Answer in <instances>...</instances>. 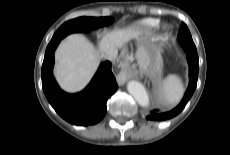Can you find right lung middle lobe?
<instances>
[{"label": "right lung middle lobe", "mask_w": 230, "mask_h": 155, "mask_svg": "<svg viewBox=\"0 0 230 155\" xmlns=\"http://www.w3.org/2000/svg\"><path fill=\"white\" fill-rule=\"evenodd\" d=\"M111 17H79L65 22L53 35L50 42L59 41L70 33L90 32L93 29L110 25Z\"/></svg>", "instance_id": "1"}]
</instances>
